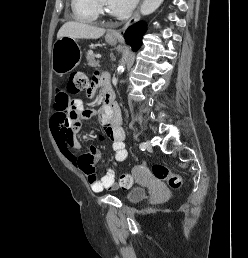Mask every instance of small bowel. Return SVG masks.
<instances>
[{
	"instance_id": "small-bowel-1",
	"label": "small bowel",
	"mask_w": 248,
	"mask_h": 258,
	"mask_svg": "<svg viewBox=\"0 0 248 258\" xmlns=\"http://www.w3.org/2000/svg\"><path fill=\"white\" fill-rule=\"evenodd\" d=\"M100 83L102 84V78ZM93 94L94 87L89 92V95ZM92 118H96L103 127L112 142L114 152V162L106 165V170L100 178L96 176L94 168V164L101 160L100 149L92 145L89 153L79 155L81 144L77 135L81 122ZM50 125L60 151L85 175L92 191L102 192L118 188L115 182V168L118 163L125 161L128 154L124 144L125 134L120 125L118 107L115 106L114 111H107L103 107L100 110H86L81 100H72L65 88L58 87L55 91Z\"/></svg>"
}]
</instances>
